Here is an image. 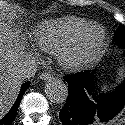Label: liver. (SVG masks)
<instances>
[{"label":"liver","instance_id":"1","mask_svg":"<svg viewBox=\"0 0 125 125\" xmlns=\"http://www.w3.org/2000/svg\"><path fill=\"white\" fill-rule=\"evenodd\" d=\"M21 61L12 48V36L7 24L0 21V117L14 103L20 90Z\"/></svg>","mask_w":125,"mask_h":125}]
</instances>
